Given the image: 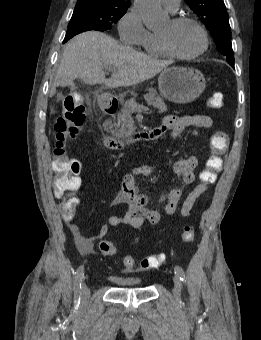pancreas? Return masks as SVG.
I'll return each instance as SVG.
<instances>
[{"instance_id": "1", "label": "pancreas", "mask_w": 261, "mask_h": 340, "mask_svg": "<svg viewBox=\"0 0 261 340\" xmlns=\"http://www.w3.org/2000/svg\"><path fill=\"white\" fill-rule=\"evenodd\" d=\"M144 99L149 105H152L158 109V113L162 114L167 110V106L164 100L157 94L155 89H150L149 93L144 95ZM135 102V98L125 101L122 104L121 111L115 117L116 122L113 124L114 130L113 135L117 139H122L126 141L131 133L135 130L134 120L132 118V113L135 111L132 109L131 104Z\"/></svg>"}]
</instances>
